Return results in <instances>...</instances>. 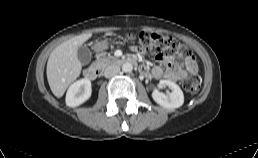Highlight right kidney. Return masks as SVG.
I'll use <instances>...</instances> for the list:
<instances>
[{"label": "right kidney", "instance_id": "ca27d5eb", "mask_svg": "<svg viewBox=\"0 0 258 158\" xmlns=\"http://www.w3.org/2000/svg\"><path fill=\"white\" fill-rule=\"evenodd\" d=\"M91 93V81L87 78L80 79L69 87L66 93V105L77 107L87 101L91 97Z\"/></svg>", "mask_w": 258, "mask_h": 158}]
</instances>
